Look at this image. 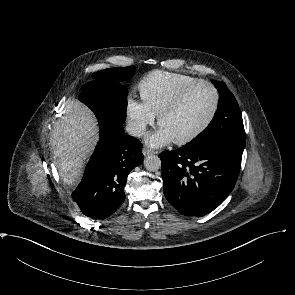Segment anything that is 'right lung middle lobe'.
<instances>
[{
	"label": "right lung middle lobe",
	"mask_w": 295,
	"mask_h": 295,
	"mask_svg": "<svg viewBox=\"0 0 295 295\" xmlns=\"http://www.w3.org/2000/svg\"><path fill=\"white\" fill-rule=\"evenodd\" d=\"M134 75V68H109L93 73V81L82 88L79 100L87 105L98 120L123 123L126 119L127 91L120 84Z\"/></svg>",
	"instance_id": "dd1d6c3e"
}]
</instances>
